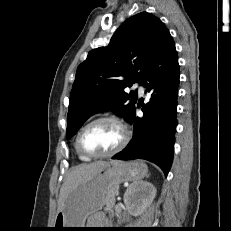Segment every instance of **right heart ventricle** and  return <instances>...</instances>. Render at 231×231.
I'll list each match as a JSON object with an SVG mask.
<instances>
[{
	"instance_id": "right-heart-ventricle-1",
	"label": "right heart ventricle",
	"mask_w": 231,
	"mask_h": 231,
	"mask_svg": "<svg viewBox=\"0 0 231 231\" xmlns=\"http://www.w3.org/2000/svg\"><path fill=\"white\" fill-rule=\"evenodd\" d=\"M76 138H77V137H76ZM74 147H75L76 153H77V155H78V157H79L80 160H82V161H88V160H89V158H86V157L82 156V155L78 152V150H77V148H76V140H75V143H74Z\"/></svg>"
}]
</instances>
